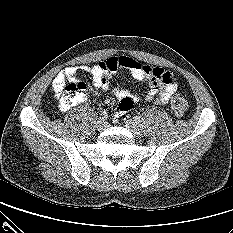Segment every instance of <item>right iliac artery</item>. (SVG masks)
Here are the masks:
<instances>
[{
	"label": "right iliac artery",
	"mask_w": 233,
	"mask_h": 233,
	"mask_svg": "<svg viewBox=\"0 0 233 233\" xmlns=\"http://www.w3.org/2000/svg\"><path fill=\"white\" fill-rule=\"evenodd\" d=\"M100 119H106L107 118V112L106 111H102L99 115Z\"/></svg>",
	"instance_id": "obj_1"
}]
</instances>
